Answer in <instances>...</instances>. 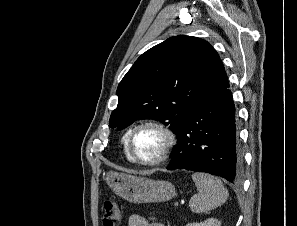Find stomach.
<instances>
[{"label": "stomach", "mask_w": 297, "mask_h": 226, "mask_svg": "<svg viewBox=\"0 0 297 226\" xmlns=\"http://www.w3.org/2000/svg\"><path fill=\"white\" fill-rule=\"evenodd\" d=\"M105 180L113 192L132 203L161 202L176 195L169 181H155L145 177L109 172Z\"/></svg>", "instance_id": "0dacf381"}]
</instances>
